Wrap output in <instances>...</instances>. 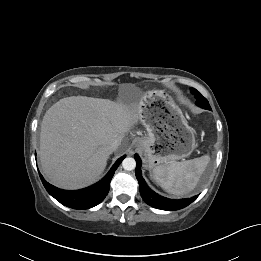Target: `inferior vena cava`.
Masks as SVG:
<instances>
[{
    "instance_id": "obj_1",
    "label": "inferior vena cava",
    "mask_w": 261,
    "mask_h": 261,
    "mask_svg": "<svg viewBox=\"0 0 261 261\" xmlns=\"http://www.w3.org/2000/svg\"><path fill=\"white\" fill-rule=\"evenodd\" d=\"M119 145H120V140L115 139L110 143V148L114 151L118 148Z\"/></svg>"
}]
</instances>
